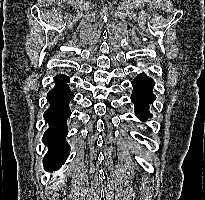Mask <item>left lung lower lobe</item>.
<instances>
[{"label": "left lung lower lobe", "instance_id": "1", "mask_svg": "<svg viewBox=\"0 0 205 200\" xmlns=\"http://www.w3.org/2000/svg\"><path fill=\"white\" fill-rule=\"evenodd\" d=\"M132 86L131 100L135 105L137 117L141 120L152 117L149 113V104H152L156 98L152 93L154 81L145 74H140L133 80Z\"/></svg>", "mask_w": 205, "mask_h": 200}]
</instances>
